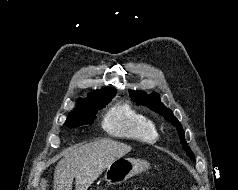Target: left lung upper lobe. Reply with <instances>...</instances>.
<instances>
[{
  "instance_id": "obj_1",
  "label": "left lung upper lobe",
  "mask_w": 238,
  "mask_h": 190,
  "mask_svg": "<svg viewBox=\"0 0 238 190\" xmlns=\"http://www.w3.org/2000/svg\"><path fill=\"white\" fill-rule=\"evenodd\" d=\"M130 96L138 104L148 106L155 112L161 114L167 121L172 122L179 133L181 144L183 145L184 150H186L187 155L195 160L190 147L186 143L184 130L181 124L179 123L178 119L172 114V111L166 108L163 103H161L159 95L157 93L146 94L142 91H130Z\"/></svg>"
}]
</instances>
